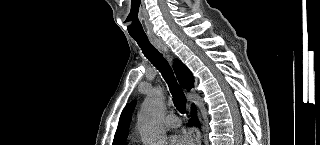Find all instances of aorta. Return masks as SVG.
Returning <instances> with one entry per match:
<instances>
[{
    "instance_id": "obj_1",
    "label": "aorta",
    "mask_w": 320,
    "mask_h": 145,
    "mask_svg": "<svg viewBox=\"0 0 320 145\" xmlns=\"http://www.w3.org/2000/svg\"><path fill=\"white\" fill-rule=\"evenodd\" d=\"M165 109L163 94L157 90L146 98L138 116V129L146 145H163L166 133L162 125Z\"/></svg>"
}]
</instances>
